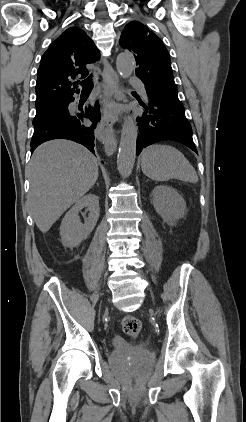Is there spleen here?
<instances>
[{"instance_id": "obj_1", "label": "spleen", "mask_w": 246, "mask_h": 422, "mask_svg": "<svg viewBox=\"0 0 246 422\" xmlns=\"http://www.w3.org/2000/svg\"><path fill=\"white\" fill-rule=\"evenodd\" d=\"M141 167L143 173L154 181H168L175 178L181 181L197 183L198 176L184 154L170 145L155 144L142 152Z\"/></svg>"}]
</instances>
